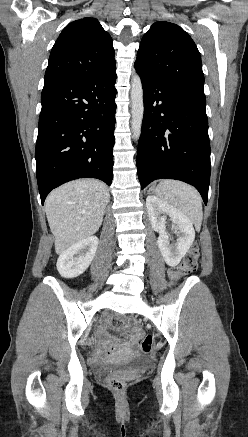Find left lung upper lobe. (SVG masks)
Wrapping results in <instances>:
<instances>
[{
	"label": "left lung upper lobe",
	"mask_w": 248,
	"mask_h": 437,
	"mask_svg": "<svg viewBox=\"0 0 248 437\" xmlns=\"http://www.w3.org/2000/svg\"><path fill=\"white\" fill-rule=\"evenodd\" d=\"M134 67L144 77L204 95L200 53L188 33L174 23L158 21L151 26Z\"/></svg>",
	"instance_id": "obj_1"
}]
</instances>
